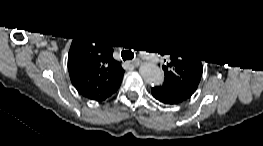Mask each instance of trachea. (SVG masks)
I'll return each mask as SVG.
<instances>
[{"label": "trachea", "instance_id": "3493384b", "mask_svg": "<svg viewBox=\"0 0 263 146\" xmlns=\"http://www.w3.org/2000/svg\"><path fill=\"white\" fill-rule=\"evenodd\" d=\"M121 57H122L123 60L133 59L134 54H133V52L130 51V50H123V51L121 52Z\"/></svg>", "mask_w": 263, "mask_h": 146}]
</instances>
